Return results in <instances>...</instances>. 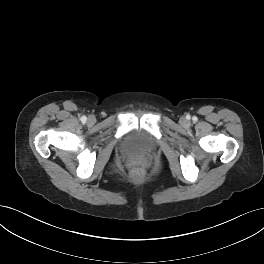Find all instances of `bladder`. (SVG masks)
Segmentation results:
<instances>
[{
  "mask_svg": "<svg viewBox=\"0 0 264 264\" xmlns=\"http://www.w3.org/2000/svg\"><path fill=\"white\" fill-rule=\"evenodd\" d=\"M154 149L153 138L144 131H134L128 134L121 145V151L130 156H146Z\"/></svg>",
  "mask_w": 264,
  "mask_h": 264,
  "instance_id": "obj_1",
  "label": "bladder"
}]
</instances>
